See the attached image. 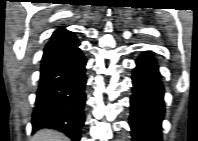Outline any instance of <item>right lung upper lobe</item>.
Instances as JSON below:
<instances>
[{
    "label": "right lung upper lobe",
    "instance_id": "obj_1",
    "mask_svg": "<svg viewBox=\"0 0 198 141\" xmlns=\"http://www.w3.org/2000/svg\"><path fill=\"white\" fill-rule=\"evenodd\" d=\"M67 32H69V31H67V30H65L64 28L61 27V28H59L58 30H56V31L53 33L51 39L54 38V37L60 36V35H62V34H64V33H67Z\"/></svg>",
    "mask_w": 198,
    "mask_h": 141
}]
</instances>
